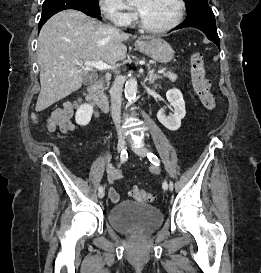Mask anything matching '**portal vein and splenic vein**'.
Instances as JSON below:
<instances>
[{
    "instance_id": "portal-vein-and-splenic-vein-1",
    "label": "portal vein and splenic vein",
    "mask_w": 261,
    "mask_h": 273,
    "mask_svg": "<svg viewBox=\"0 0 261 273\" xmlns=\"http://www.w3.org/2000/svg\"><path fill=\"white\" fill-rule=\"evenodd\" d=\"M76 64L79 66H85L86 69H89V68H96L99 70L114 69L113 66L106 64L103 61H97V62L84 61V62H77ZM164 72H165V69L158 70V73H164Z\"/></svg>"
}]
</instances>
